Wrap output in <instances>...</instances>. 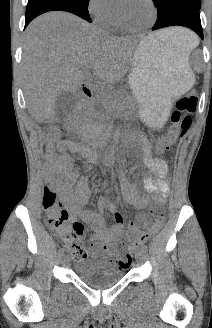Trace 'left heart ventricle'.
<instances>
[{
  "mask_svg": "<svg viewBox=\"0 0 212 328\" xmlns=\"http://www.w3.org/2000/svg\"><path fill=\"white\" fill-rule=\"evenodd\" d=\"M120 11L124 20L132 26H144L152 19V10L146 0H127Z\"/></svg>",
  "mask_w": 212,
  "mask_h": 328,
  "instance_id": "1",
  "label": "left heart ventricle"
}]
</instances>
